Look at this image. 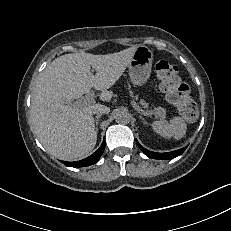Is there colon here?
Segmentation results:
<instances>
[{"mask_svg":"<svg viewBox=\"0 0 231 231\" xmlns=\"http://www.w3.org/2000/svg\"><path fill=\"white\" fill-rule=\"evenodd\" d=\"M155 71L167 100L177 108L183 118L194 120L198 115V107L190 88L180 79L178 67L161 60L156 63Z\"/></svg>","mask_w":231,"mask_h":231,"instance_id":"obj_1","label":"colon"}]
</instances>
